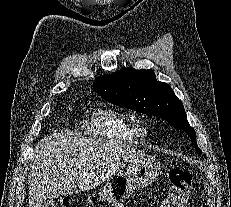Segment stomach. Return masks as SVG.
<instances>
[{
    "label": "stomach",
    "mask_w": 231,
    "mask_h": 207,
    "mask_svg": "<svg viewBox=\"0 0 231 207\" xmlns=\"http://www.w3.org/2000/svg\"><path fill=\"white\" fill-rule=\"evenodd\" d=\"M160 172V163L149 155L132 159L125 172L119 171L107 179L99 193L98 201L111 207H121L133 191L152 184Z\"/></svg>",
    "instance_id": "1"
}]
</instances>
